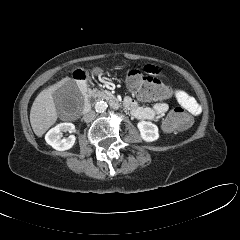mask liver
<instances>
[{
    "label": "liver",
    "mask_w": 240,
    "mask_h": 240,
    "mask_svg": "<svg viewBox=\"0 0 240 240\" xmlns=\"http://www.w3.org/2000/svg\"><path fill=\"white\" fill-rule=\"evenodd\" d=\"M70 81L69 77L41 91L34 100L30 110V123L36 136L41 137L57 120L53 92Z\"/></svg>",
    "instance_id": "obj_1"
}]
</instances>
